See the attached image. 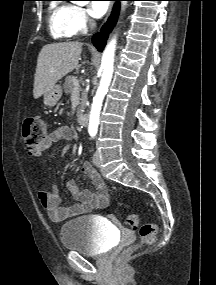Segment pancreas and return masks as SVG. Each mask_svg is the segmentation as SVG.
Wrapping results in <instances>:
<instances>
[{
  "instance_id": "obj_1",
  "label": "pancreas",
  "mask_w": 216,
  "mask_h": 285,
  "mask_svg": "<svg viewBox=\"0 0 216 285\" xmlns=\"http://www.w3.org/2000/svg\"><path fill=\"white\" fill-rule=\"evenodd\" d=\"M74 80H77L76 76L73 75H69L65 78V83H64V90L65 93L71 94L74 88ZM86 102H87V95H86V91L82 92V97H81V102L80 105L77 109V115H80L82 110L85 108L86 106Z\"/></svg>"
}]
</instances>
